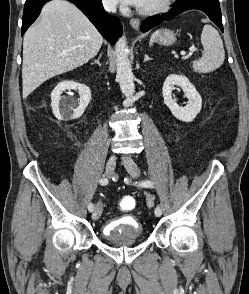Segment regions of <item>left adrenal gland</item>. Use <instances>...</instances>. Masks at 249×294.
<instances>
[{"label":"left adrenal gland","mask_w":249,"mask_h":294,"mask_svg":"<svg viewBox=\"0 0 249 294\" xmlns=\"http://www.w3.org/2000/svg\"><path fill=\"white\" fill-rule=\"evenodd\" d=\"M148 60H151V58H149L148 54H145V56H144V62H146Z\"/></svg>","instance_id":"obj_1"}]
</instances>
